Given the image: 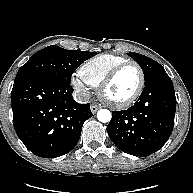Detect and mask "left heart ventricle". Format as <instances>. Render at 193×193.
Segmentation results:
<instances>
[{"label": "left heart ventricle", "instance_id": "left-heart-ventricle-1", "mask_svg": "<svg viewBox=\"0 0 193 193\" xmlns=\"http://www.w3.org/2000/svg\"><path fill=\"white\" fill-rule=\"evenodd\" d=\"M139 73L134 66L123 69L106 90V96L112 101H123L129 98L139 84Z\"/></svg>", "mask_w": 193, "mask_h": 193}]
</instances>
